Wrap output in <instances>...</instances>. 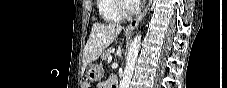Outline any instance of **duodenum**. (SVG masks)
<instances>
[{
    "label": "duodenum",
    "instance_id": "1",
    "mask_svg": "<svg viewBox=\"0 0 227 88\" xmlns=\"http://www.w3.org/2000/svg\"><path fill=\"white\" fill-rule=\"evenodd\" d=\"M111 83H112V86H113L114 88H116V87H117V85H118V81H117V79H113V80H111Z\"/></svg>",
    "mask_w": 227,
    "mask_h": 88
}]
</instances>
